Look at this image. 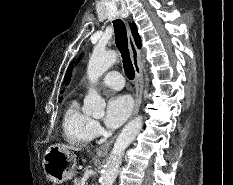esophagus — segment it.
Returning <instances> with one entry per match:
<instances>
[{"instance_id":"1","label":"esophagus","mask_w":233,"mask_h":185,"mask_svg":"<svg viewBox=\"0 0 233 185\" xmlns=\"http://www.w3.org/2000/svg\"><path fill=\"white\" fill-rule=\"evenodd\" d=\"M128 45L131 53V60L134 67L136 81H135V105L131 118H133L139 111L142 93H143V73L140 67L141 53L140 50L135 45L134 39L132 37L130 29L127 32ZM115 138V137H114ZM114 138H112L108 143H105L96 149V153L99 156L107 155L110 145L113 143Z\"/></svg>"}]
</instances>
